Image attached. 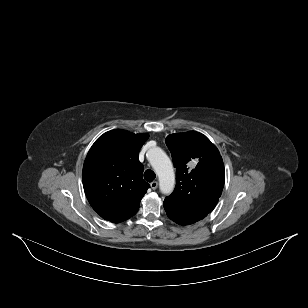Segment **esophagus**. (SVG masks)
Segmentation results:
<instances>
[{
    "label": "esophagus",
    "instance_id": "34e87169",
    "mask_svg": "<svg viewBox=\"0 0 308 308\" xmlns=\"http://www.w3.org/2000/svg\"><path fill=\"white\" fill-rule=\"evenodd\" d=\"M150 186H151V188H152L153 190H155V189H157V187H158V182H157V181H153V182L150 183Z\"/></svg>",
    "mask_w": 308,
    "mask_h": 308
}]
</instances>
